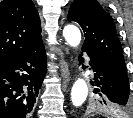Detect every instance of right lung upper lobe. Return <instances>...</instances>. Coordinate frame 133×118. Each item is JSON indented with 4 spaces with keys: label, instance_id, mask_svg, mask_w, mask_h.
I'll list each match as a JSON object with an SVG mask.
<instances>
[{
    "label": "right lung upper lobe",
    "instance_id": "obj_1",
    "mask_svg": "<svg viewBox=\"0 0 133 118\" xmlns=\"http://www.w3.org/2000/svg\"><path fill=\"white\" fill-rule=\"evenodd\" d=\"M42 44L38 12L31 0L0 2V65Z\"/></svg>",
    "mask_w": 133,
    "mask_h": 118
}]
</instances>
